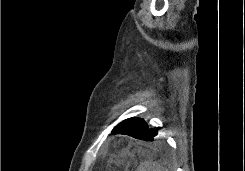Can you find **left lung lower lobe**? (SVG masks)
<instances>
[{"mask_svg": "<svg viewBox=\"0 0 245 171\" xmlns=\"http://www.w3.org/2000/svg\"><path fill=\"white\" fill-rule=\"evenodd\" d=\"M112 134H124L144 141H153L157 130L149 128L143 119L133 117L119 123L112 130Z\"/></svg>", "mask_w": 245, "mask_h": 171, "instance_id": "0a47b994", "label": "left lung lower lobe"}]
</instances>
